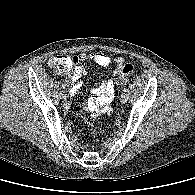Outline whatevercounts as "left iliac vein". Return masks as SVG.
<instances>
[{"mask_svg":"<svg viewBox=\"0 0 195 195\" xmlns=\"http://www.w3.org/2000/svg\"><path fill=\"white\" fill-rule=\"evenodd\" d=\"M127 99H128V96L126 93H122L121 96H120V101L122 103H126L127 102Z\"/></svg>","mask_w":195,"mask_h":195,"instance_id":"left-iliac-vein-1","label":"left iliac vein"}]
</instances>
